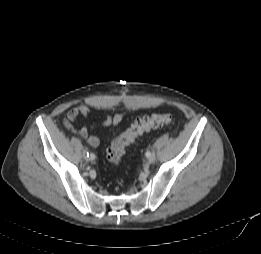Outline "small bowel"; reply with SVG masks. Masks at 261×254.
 <instances>
[{
  "label": "small bowel",
  "mask_w": 261,
  "mask_h": 254,
  "mask_svg": "<svg viewBox=\"0 0 261 254\" xmlns=\"http://www.w3.org/2000/svg\"><path fill=\"white\" fill-rule=\"evenodd\" d=\"M90 113H91L90 108L87 105H79L73 107L68 111L63 121V124L67 130L71 132H77L81 138L86 139L88 141L91 147L96 148L99 145V139L91 133L95 125H91L90 127L84 126L79 130H77L74 126V122L80 116L88 117ZM124 116H125L124 113H118L112 116H106L99 122V124L105 126L117 125L123 120Z\"/></svg>",
  "instance_id": "c3829d8e"
}]
</instances>
